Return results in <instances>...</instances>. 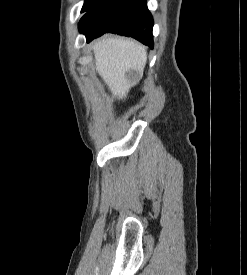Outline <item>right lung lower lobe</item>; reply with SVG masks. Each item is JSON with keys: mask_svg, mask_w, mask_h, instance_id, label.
Listing matches in <instances>:
<instances>
[{"mask_svg": "<svg viewBox=\"0 0 247 275\" xmlns=\"http://www.w3.org/2000/svg\"><path fill=\"white\" fill-rule=\"evenodd\" d=\"M153 18L146 0H107L88 11L79 22L87 42L104 33L133 37L153 48Z\"/></svg>", "mask_w": 247, "mask_h": 275, "instance_id": "98d812e1", "label": "right lung lower lobe"}]
</instances>
